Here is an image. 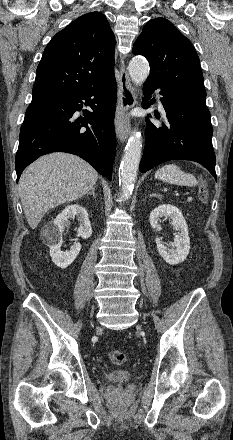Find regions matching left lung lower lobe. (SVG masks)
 <instances>
[{"label":"left lung lower lobe","instance_id":"obj_1","mask_svg":"<svg viewBox=\"0 0 233 440\" xmlns=\"http://www.w3.org/2000/svg\"><path fill=\"white\" fill-rule=\"evenodd\" d=\"M157 88L163 95L161 102L169 125L156 127L148 119L146 143L140 171L146 172L169 160H192L202 164L216 179L215 155L212 146L213 129L206 96L162 89L157 83L146 80L142 106L148 108V99Z\"/></svg>","mask_w":233,"mask_h":440}]
</instances>
